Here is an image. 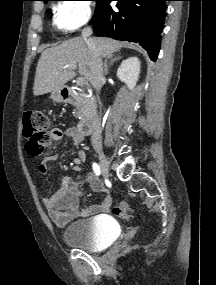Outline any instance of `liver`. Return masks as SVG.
Wrapping results in <instances>:
<instances>
[{
    "label": "liver",
    "instance_id": "1",
    "mask_svg": "<svg viewBox=\"0 0 216 285\" xmlns=\"http://www.w3.org/2000/svg\"><path fill=\"white\" fill-rule=\"evenodd\" d=\"M101 57H107L119 51L122 43L106 37H92ZM91 51L84 38L69 39L58 46L45 49L38 61L33 87L34 96L44 95L63 88L75 76L67 65H78L79 73L89 79Z\"/></svg>",
    "mask_w": 216,
    "mask_h": 285
}]
</instances>
